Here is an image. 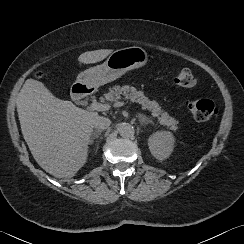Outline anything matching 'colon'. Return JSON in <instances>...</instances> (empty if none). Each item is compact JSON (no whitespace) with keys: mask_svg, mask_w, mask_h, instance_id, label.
Wrapping results in <instances>:
<instances>
[{"mask_svg":"<svg viewBox=\"0 0 244 244\" xmlns=\"http://www.w3.org/2000/svg\"><path fill=\"white\" fill-rule=\"evenodd\" d=\"M173 83L180 88H192L196 84L194 75L188 69H179L172 74ZM193 117L200 122L209 121L219 114V109L210 100H189L186 103Z\"/></svg>","mask_w":244,"mask_h":244,"instance_id":"1","label":"colon"}]
</instances>
